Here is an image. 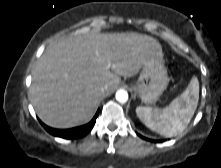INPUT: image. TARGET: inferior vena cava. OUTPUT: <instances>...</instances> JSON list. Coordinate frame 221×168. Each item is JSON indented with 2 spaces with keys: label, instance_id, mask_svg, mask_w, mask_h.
I'll return each instance as SVG.
<instances>
[{
  "label": "inferior vena cava",
  "instance_id": "1",
  "mask_svg": "<svg viewBox=\"0 0 221 168\" xmlns=\"http://www.w3.org/2000/svg\"><path fill=\"white\" fill-rule=\"evenodd\" d=\"M107 88H108L107 85L103 86V87L101 88V92H104L105 90H107Z\"/></svg>",
  "mask_w": 221,
  "mask_h": 168
}]
</instances>
